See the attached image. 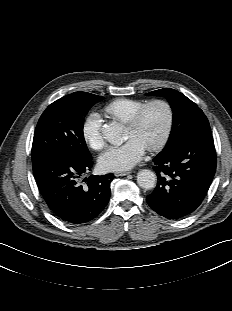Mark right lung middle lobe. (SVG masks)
<instances>
[{
	"instance_id": "1",
	"label": "right lung middle lobe",
	"mask_w": 232,
	"mask_h": 311,
	"mask_svg": "<svg viewBox=\"0 0 232 311\" xmlns=\"http://www.w3.org/2000/svg\"><path fill=\"white\" fill-rule=\"evenodd\" d=\"M102 99L74 95L62 97L49 105L36 126L32 159L56 153L78 160H91L83 135L84 117Z\"/></svg>"
}]
</instances>
